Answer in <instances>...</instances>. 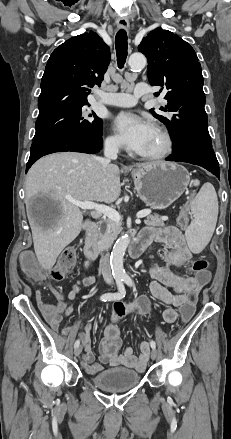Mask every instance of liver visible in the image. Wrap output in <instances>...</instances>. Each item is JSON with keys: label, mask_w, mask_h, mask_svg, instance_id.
I'll return each mask as SVG.
<instances>
[{"label": "liver", "mask_w": 231, "mask_h": 439, "mask_svg": "<svg viewBox=\"0 0 231 439\" xmlns=\"http://www.w3.org/2000/svg\"><path fill=\"white\" fill-rule=\"evenodd\" d=\"M153 163L138 164L141 168ZM119 168L103 169L99 158L75 152L53 153L39 159L28 171L25 181L27 216L34 250L46 270L56 263L62 250L86 229L80 208L69 200L112 203L120 196ZM43 196L57 206L56 212L31 211V200Z\"/></svg>", "instance_id": "6515ba94"}]
</instances>
